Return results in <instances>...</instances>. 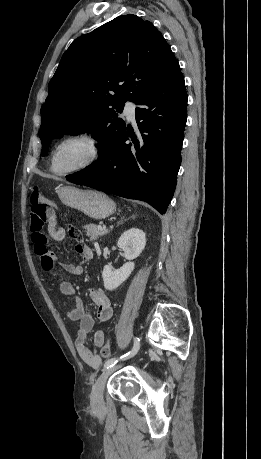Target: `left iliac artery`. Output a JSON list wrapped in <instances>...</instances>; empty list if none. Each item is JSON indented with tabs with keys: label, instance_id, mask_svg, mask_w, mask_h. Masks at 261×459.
Here are the masks:
<instances>
[{
	"label": "left iliac artery",
	"instance_id": "obj_1",
	"mask_svg": "<svg viewBox=\"0 0 261 459\" xmlns=\"http://www.w3.org/2000/svg\"><path fill=\"white\" fill-rule=\"evenodd\" d=\"M139 348H140V339L138 337H135L133 348L128 353L122 355L120 358H111L107 360L104 364V369L113 367L120 359H123L125 357H131L135 355L138 352Z\"/></svg>",
	"mask_w": 261,
	"mask_h": 459
}]
</instances>
